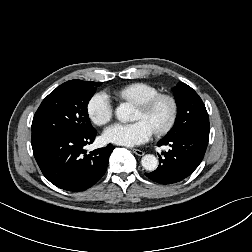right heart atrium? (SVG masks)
I'll use <instances>...</instances> for the list:
<instances>
[{
  "label": "right heart atrium",
  "mask_w": 252,
  "mask_h": 252,
  "mask_svg": "<svg viewBox=\"0 0 252 252\" xmlns=\"http://www.w3.org/2000/svg\"><path fill=\"white\" fill-rule=\"evenodd\" d=\"M86 111L91 122L97 126H104L113 118V105L106 93L98 92L87 102Z\"/></svg>",
  "instance_id": "1"
}]
</instances>
